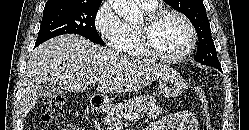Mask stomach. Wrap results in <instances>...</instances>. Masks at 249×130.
I'll return each instance as SVG.
<instances>
[{"mask_svg": "<svg viewBox=\"0 0 249 130\" xmlns=\"http://www.w3.org/2000/svg\"><path fill=\"white\" fill-rule=\"evenodd\" d=\"M159 87L164 97H176L186 89V82L179 73L172 70L160 76ZM110 106L108 100L104 99L103 108L108 109Z\"/></svg>", "mask_w": 249, "mask_h": 130, "instance_id": "0dacf381", "label": "stomach"}]
</instances>
